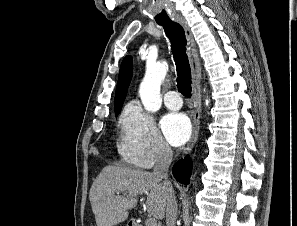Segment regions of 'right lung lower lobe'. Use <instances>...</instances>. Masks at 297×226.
Wrapping results in <instances>:
<instances>
[{"label": "right lung lower lobe", "mask_w": 297, "mask_h": 226, "mask_svg": "<svg viewBox=\"0 0 297 226\" xmlns=\"http://www.w3.org/2000/svg\"><path fill=\"white\" fill-rule=\"evenodd\" d=\"M191 170L192 161L189 157H185V159H181L174 164L172 173L178 182L188 184L190 182Z\"/></svg>", "instance_id": "98d812e1"}]
</instances>
